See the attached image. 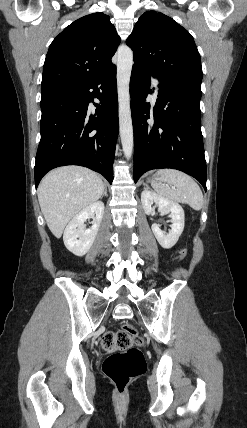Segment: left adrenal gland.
Wrapping results in <instances>:
<instances>
[{"label":"left adrenal gland","instance_id":"1","mask_svg":"<svg viewBox=\"0 0 247 428\" xmlns=\"http://www.w3.org/2000/svg\"><path fill=\"white\" fill-rule=\"evenodd\" d=\"M143 185H144L145 189H149V186L147 183H143Z\"/></svg>","mask_w":247,"mask_h":428}]
</instances>
